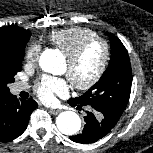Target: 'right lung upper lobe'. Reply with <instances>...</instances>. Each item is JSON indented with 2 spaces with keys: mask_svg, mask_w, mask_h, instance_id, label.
Segmentation results:
<instances>
[{
  "mask_svg": "<svg viewBox=\"0 0 153 153\" xmlns=\"http://www.w3.org/2000/svg\"><path fill=\"white\" fill-rule=\"evenodd\" d=\"M31 33L18 26H4L0 28V49L18 47L27 44ZM3 94L0 92V95Z\"/></svg>",
  "mask_w": 153,
  "mask_h": 153,
  "instance_id": "cb5924a9",
  "label": "right lung upper lobe"
}]
</instances>
